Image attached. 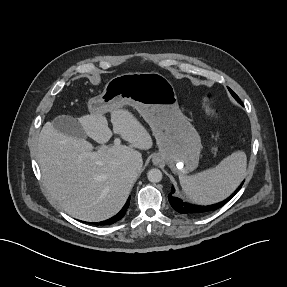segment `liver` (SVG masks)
I'll use <instances>...</instances> for the list:
<instances>
[{"label": "liver", "mask_w": 287, "mask_h": 287, "mask_svg": "<svg viewBox=\"0 0 287 287\" xmlns=\"http://www.w3.org/2000/svg\"><path fill=\"white\" fill-rule=\"evenodd\" d=\"M113 132L130 146H106L112 131L103 112L79 118L87 136L99 144L100 153L93 157V146L57 131L45 123L38 139L37 159L44 184L51 197L69 215L88 222L106 220L125 204L138 171L131 167L153 145L145 127L127 110L111 109Z\"/></svg>", "instance_id": "1"}]
</instances>
